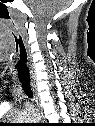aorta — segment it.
<instances>
[{
	"instance_id": "aorta-1",
	"label": "aorta",
	"mask_w": 95,
	"mask_h": 126,
	"mask_svg": "<svg viewBox=\"0 0 95 126\" xmlns=\"http://www.w3.org/2000/svg\"><path fill=\"white\" fill-rule=\"evenodd\" d=\"M31 120L36 121V120H38V117L34 115V116L31 117Z\"/></svg>"
}]
</instances>
